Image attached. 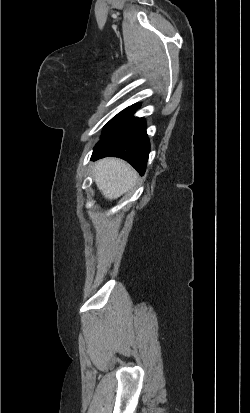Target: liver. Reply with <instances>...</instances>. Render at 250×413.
<instances>
[{"instance_id":"1","label":"liver","mask_w":250,"mask_h":413,"mask_svg":"<svg viewBox=\"0 0 250 413\" xmlns=\"http://www.w3.org/2000/svg\"><path fill=\"white\" fill-rule=\"evenodd\" d=\"M94 180L103 196L117 199L135 184L137 172L125 161L118 158H104L96 162Z\"/></svg>"}]
</instances>
